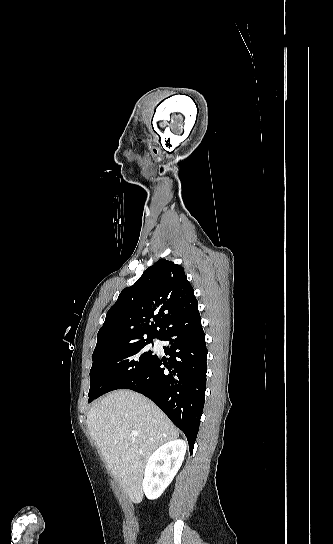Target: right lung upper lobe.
Returning <instances> with one entry per match:
<instances>
[{
	"label": "right lung upper lobe",
	"instance_id": "right-lung-upper-lobe-1",
	"mask_svg": "<svg viewBox=\"0 0 333 544\" xmlns=\"http://www.w3.org/2000/svg\"><path fill=\"white\" fill-rule=\"evenodd\" d=\"M199 314L184 269L158 260L120 293L97 335L95 351L143 338H160L172 326Z\"/></svg>",
	"mask_w": 333,
	"mask_h": 544
}]
</instances>
